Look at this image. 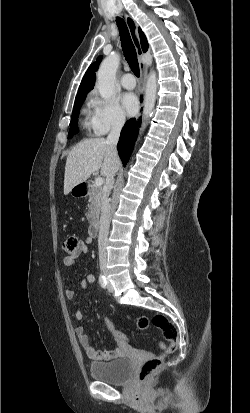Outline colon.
Returning a JSON list of instances; mask_svg holds the SVG:
<instances>
[{"label": "colon", "instance_id": "obj_1", "mask_svg": "<svg viewBox=\"0 0 250 413\" xmlns=\"http://www.w3.org/2000/svg\"><path fill=\"white\" fill-rule=\"evenodd\" d=\"M63 249L69 255L76 253L79 249V240L74 236L68 237L64 241ZM150 321L155 327L161 330L164 339L170 344L169 346H166L164 342H161L160 347L163 349V353L148 358L142 364L138 375L141 382L148 381L151 376L160 369L165 357L168 354L173 353L178 346V330L174 323H172L164 315L156 314L151 318V320H149L146 316H138L135 320V326L140 330H144L149 326ZM104 322V327L107 330H110V334L113 335L117 341H125V344L132 342V337H129V335L125 334L120 328H116L117 325L112 321L111 315H106Z\"/></svg>", "mask_w": 250, "mask_h": 413}]
</instances>
